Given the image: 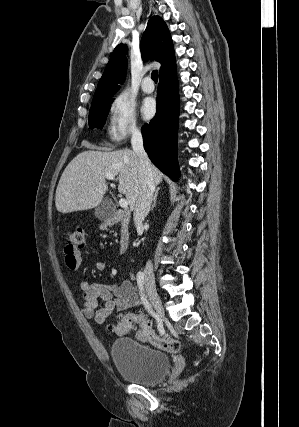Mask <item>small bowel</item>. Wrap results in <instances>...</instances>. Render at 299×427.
<instances>
[{
    "label": "small bowel",
    "mask_w": 299,
    "mask_h": 427,
    "mask_svg": "<svg viewBox=\"0 0 299 427\" xmlns=\"http://www.w3.org/2000/svg\"><path fill=\"white\" fill-rule=\"evenodd\" d=\"M81 261V254L78 250L73 253L64 250V263L69 271L76 272L80 268ZM96 268L101 272L105 271L107 262L99 260L96 263ZM79 298L83 302V315L88 319L93 318L99 324L105 323L115 309L123 311L140 306L142 303L141 296L128 280L120 283L82 281L79 285ZM101 301L104 303L102 307L100 306ZM136 338L152 342L151 338L145 336L141 330L137 331Z\"/></svg>",
    "instance_id": "small-bowel-1"
}]
</instances>
